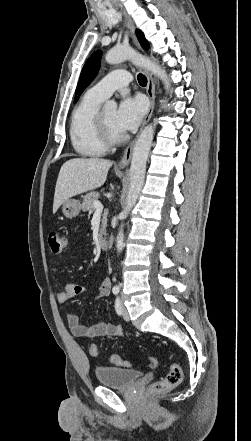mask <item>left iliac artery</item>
Returning <instances> with one entry per match:
<instances>
[{"label": "left iliac artery", "mask_w": 251, "mask_h": 441, "mask_svg": "<svg viewBox=\"0 0 251 441\" xmlns=\"http://www.w3.org/2000/svg\"><path fill=\"white\" fill-rule=\"evenodd\" d=\"M115 310H116L118 315L122 314L121 302H120V298L119 297H117L116 300H115Z\"/></svg>", "instance_id": "1"}]
</instances>
